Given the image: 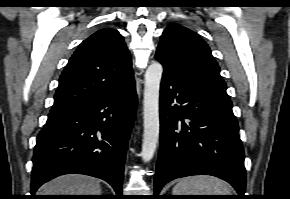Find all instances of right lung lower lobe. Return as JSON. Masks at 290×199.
<instances>
[{
    "mask_svg": "<svg viewBox=\"0 0 290 199\" xmlns=\"http://www.w3.org/2000/svg\"><path fill=\"white\" fill-rule=\"evenodd\" d=\"M136 106L133 81L122 92L50 111L34 150L32 199L43 183L69 173L103 179L120 198Z\"/></svg>",
    "mask_w": 290,
    "mask_h": 199,
    "instance_id": "obj_1",
    "label": "right lung lower lobe"
}]
</instances>
